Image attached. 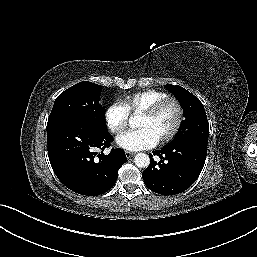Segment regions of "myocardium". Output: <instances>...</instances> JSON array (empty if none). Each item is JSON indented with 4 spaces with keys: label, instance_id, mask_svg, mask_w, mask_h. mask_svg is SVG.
<instances>
[{
    "label": "myocardium",
    "instance_id": "f54148a6",
    "mask_svg": "<svg viewBox=\"0 0 257 257\" xmlns=\"http://www.w3.org/2000/svg\"><path fill=\"white\" fill-rule=\"evenodd\" d=\"M169 104H173L176 108V121L171 131L159 139L160 143L169 142L178 134L184 119V109L181 102L177 98L169 96L141 112L142 116L153 118L156 117Z\"/></svg>",
    "mask_w": 257,
    "mask_h": 257
}]
</instances>
